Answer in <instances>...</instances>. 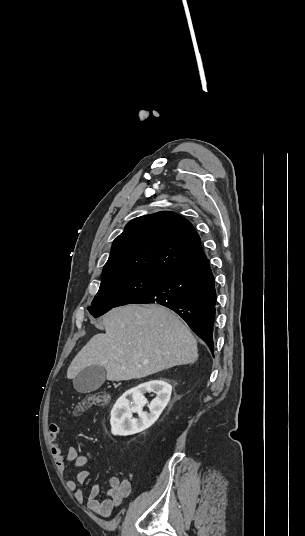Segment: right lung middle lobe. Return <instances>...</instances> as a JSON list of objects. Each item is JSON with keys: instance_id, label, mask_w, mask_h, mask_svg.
<instances>
[{"instance_id": "obj_1", "label": "right lung middle lobe", "mask_w": 305, "mask_h": 536, "mask_svg": "<svg viewBox=\"0 0 305 536\" xmlns=\"http://www.w3.org/2000/svg\"><path fill=\"white\" fill-rule=\"evenodd\" d=\"M165 277L162 274L130 273L102 279L89 312L97 318L113 307L133 303Z\"/></svg>"}]
</instances>
